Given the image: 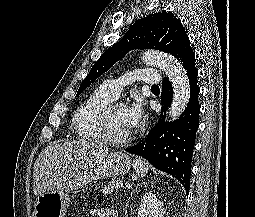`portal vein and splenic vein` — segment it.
Segmentation results:
<instances>
[{"mask_svg":"<svg viewBox=\"0 0 255 217\" xmlns=\"http://www.w3.org/2000/svg\"><path fill=\"white\" fill-rule=\"evenodd\" d=\"M126 187H127V188H129V189H130V188H132V186H131V185H127Z\"/></svg>","mask_w":255,"mask_h":217,"instance_id":"1","label":"portal vein and splenic vein"}]
</instances>
